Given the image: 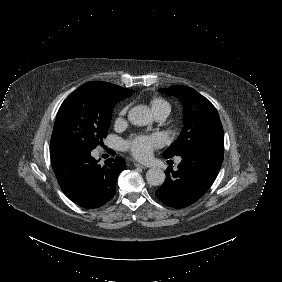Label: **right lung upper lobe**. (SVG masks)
<instances>
[{
    "label": "right lung upper lobe",
    "mask_w": 282,
    "mask_h": 282,
    "mask_svg": "<svg viewBox=\"0 0 282 282\" xmlns=\"http://www.w3.org/2000/svg\"><path fill=\"white\" fill-rule=\"evenodd\" d=\"M95 82H100V81H95ZM88 83H93V82H88Z\"/></svg>",
    "instance_id": "cb5924a9"
}]
</instances>
